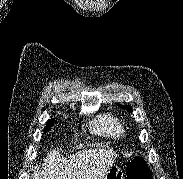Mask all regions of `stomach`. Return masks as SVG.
I'll list each match as a JSON object with an SVG mask.
<instances>
[{"mask_svg": "<svg viewBox=\"0 0 183 179\" xmlns=\"http://www.w3.org/2000/svg\"><path fill=\"white\" fill-rule=\"evenodd\" d=\"M103 179H125L122 169L117 165H112Z\"/></svg>", "mask_w": 183, "mask_h": 179, "instance_id": "0dacf381", "label": "stomach"}]
</instances>
